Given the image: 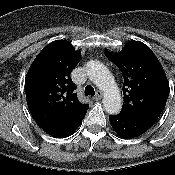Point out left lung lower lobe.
Returning <instances> with one entry per match:
<instances>
[{
	"mask_svg": "<svg viewBox=\"0 0 175 175\" xmlns=\"http://www.w3.org/2000/svg\"><path fill=\"white\" fill-rule=\"evenodd\" d=\"M160 113L140 112V113H119L109 116V121L115 132L122 138L130 139L137 137L157 121Z\"/></svg>",
	"mask_w": 175,
	"mask_h": 175,
	"instance_id": "1",
	"label": "left lung lower lobe"
}]
</instances>
